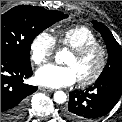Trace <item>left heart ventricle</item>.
<instances>
[{
  "label": "left heart ventricle",
  "instance_id": "left-heart-ventricle-1",
  "mask_svg": "<svg viewBox=\"0 0 122 122\" xmlns=\"http://www.w3.org/2000/svg\"><path fill=\"white\" fill-rule=\"evenodd\" d=\"M100 55L98 51H92L83 58H76L72 53L67 57L65 64L71 66L77 79L90 77L99 65Z\"/></svg>",
  "mask_w": 122,
  "mask_h": 122
}]
</instances>
